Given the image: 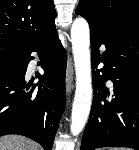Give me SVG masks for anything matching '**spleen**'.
<instances>
[{
	"mask_svg": "<svg viewBox=\"0 0 139 150\" xmlns=\"http://www.w3.org/2000/svg\"><path fill=\"white\" fill-rule=\"evenodd\" d=\"M112 150H129V149H123V148H114Z\"/></svg>",
	"mask_w": 139,
	"mask_h": 150,
	"instance_id": "spleen-1",
	"label": "spleen"
}]
</instances>
